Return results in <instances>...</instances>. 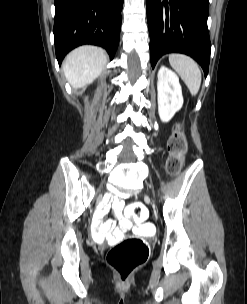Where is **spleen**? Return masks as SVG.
<instances>
[{"instance_id":"1","label":"spleen","mask_w":247,"mask_h":304,"mask_svg":"<svg viewBox=\"0 0 247 304\" xmlns=\"http://www.w3.org/2000/svg\"><path fill=\"white\" fill-rule=\"evenodd\" d=\"M169 63L180 75L190 93L197 95L201 85V71L197 63L191 57L179 53L170 54Z\"/></svg>"}]
</instances>
